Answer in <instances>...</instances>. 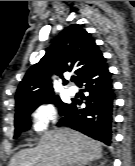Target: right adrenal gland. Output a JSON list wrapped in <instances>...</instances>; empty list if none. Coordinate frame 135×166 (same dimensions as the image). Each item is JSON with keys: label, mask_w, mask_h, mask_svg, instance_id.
<instances>
[{"label": "right adrenal gland", "mask_w": 135, "mask_h": 166, "mask_svg": "<svg viewBox=\"0 0 135 166\" xmlns=\"http://www.w3.org/2000/svg\"><path fill=\"white\" fill-rule=\"evenodd\" d=\"M70 166H91V162H86V163L77 164V165H70Z\"/></svg>", "instance_id": "2a0ac1e0"}]
</instances>
